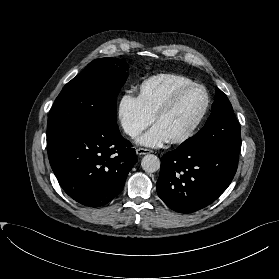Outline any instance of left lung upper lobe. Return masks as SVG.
<instances>
[{"label": "left lung upper lobe", "mask_w": 279, "mask_h": 279, "mask_svg": "<svg viewBox=\"0 0 279 279\" xmlns=\"http://www.w3.org/2000/svg\"><path fill=\"white\" fill-rule=\"evenodd\" d=\"M217 101L204 127L193 137L184 141L179 148L196 149L201 147H222L235 152L241 149V129L227 96L215 89Z\"/></svg>", "instance_id": "left-lung-upper-lobe-1"}]
</instances>
